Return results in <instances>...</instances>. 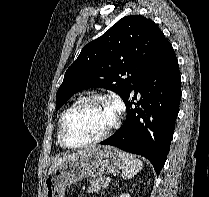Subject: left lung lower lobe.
<instances>
[{"label": "left lung lower lobe", "instance_id": "1", "mask_svg": "<svg viewBox=\"0 0 209 197\" xmlns=\"http://www.w3.org/2000/svg\"><path fill=\"white\" fill-rule=\"evenodd\" d=\"M180 72L172 45L166 40L141 72L124 100L127 119L121 128L101 142L146 157L157 174L169 153L181 99ZM140 92L141 99L134 100Z\"/></svg>", "mask_w": 209, "mask_h": 197}]
</instances>
